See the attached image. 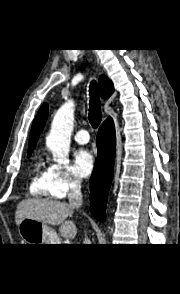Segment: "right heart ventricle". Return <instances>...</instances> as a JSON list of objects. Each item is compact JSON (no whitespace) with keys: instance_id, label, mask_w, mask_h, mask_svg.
<instances>
[{"instance_id":"e07e8e85","label":"right heart ventricle","mask_w":180,"mask_h":294,"mask_svg":"<svg viewBox=\"0 0 180 294\" xmlns=\"http://www.w3.org/2000/svg\"><path fill=\"white\" fill-rule=\"evenodd\" d=\"M29 193L36 197H47L49 195V174L42 158L35 159L29 183Z\"/></svg>"}]
</instances>
